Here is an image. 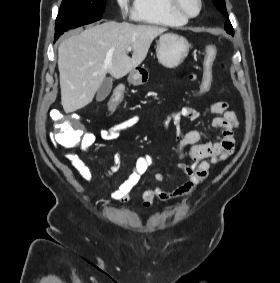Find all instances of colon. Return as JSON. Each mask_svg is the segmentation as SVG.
Here are the masks:
<instances>
[{
  "mask_svg": "<svg viewBox=\"0 0 280 283\" xmlns=\"http://www.w3.org/2000/svg\"><path fill=\"white\" fill-rule=\"evenodd\" d=\"M217 50L215 45L209 44L204 51V69L199 78L197 87L195 88L196 94L192 95L193 99H204L205 95H209L211 81L215 75V70H211L212 65L216 59ZM114 94L109 100L110 108H114L121 101L125 92V87H114ZM53 124L55 126L52 132L54 142L64 148L75 147L82 136V132H87V127H80L79 124L69 119H80V114H76V110H67L64 114L63 110L51 111L50 113Z\"/></svg>",
  "mask_w": 280,
  "mask_h": 283,
  "instance_id": "5ec220e1",
  "label": "colon"
}]
</instances>
